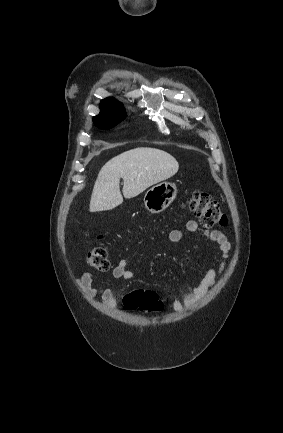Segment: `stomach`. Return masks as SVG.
<instances>
[{
	"instance_id": "obj_1",
	"label": "stomach",
	"mask_w": 283,
	"mask_h": 433,
	"mask_svg": "<svg viewBox=\"0 0 283 433\" xmlns=\"http://www.w3.org/2000/svg\"><path fill=\"white\" fill-rule=\"evenodd\" d=\"M177 186L174 182H158L147 190L144 196L146 208L150 212H161L176 198Z\"/></svg>"
}]
</instances>
